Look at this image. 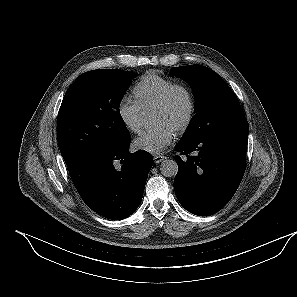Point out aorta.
Segmentation results:
<instances>
[{
    "mask_svg": "<svg viewBox=\"0 0 297 297\" xmlns=\"http://www.w3.org/2000/svg\"><path fill=\"white\" fill-rule=\"evenodd\" d=\"M160 171L165 177H175L178 172V165L176 161L166 159L162 161Z\"/></svg>",
    "mask_w": 297,
    "mask_h": 297,
    "instance_id": "obj_1",
    "label": "aorta"
}]
</instances>
